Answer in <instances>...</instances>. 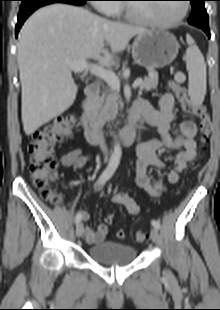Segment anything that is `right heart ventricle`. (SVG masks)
<instances>
[{"label": "right heart ventricle", "mask_w": 220, "mask_h": 310, "mask_svg": "<svg viewBox=\"0 0 220 310\" xmlns=\"http://www.w3.org/2000/svg\"><path fill=\"white\" fill-rule=\"evenodd\" d=\"M119 9H118V7H117V9L114 11V14H119Z\"/></svg>", "instance_id": "1"}]
</instances>
